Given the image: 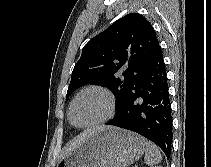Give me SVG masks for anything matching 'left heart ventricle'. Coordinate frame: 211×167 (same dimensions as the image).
Returning <instances> with one entry per match:
<instances>
[{"label":"left heart ventricle","mask_w":211,"mask_h":167,"mask_svg":"<svg viewBox=\"0 0 211 167\" xmlns=\"http://www.w3.org/2000/svg\"><path fill=\"white\" fill-rule=\"evenodd\" d=\"M108 112L105 95L97 91L83 94L75 103L72 118L78 125H85L104 117Z\"/></svg>","instance_id":"left-heart-ventricle-1"}]
</instances>
